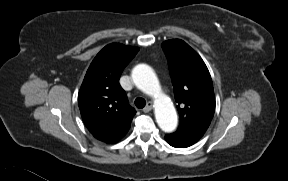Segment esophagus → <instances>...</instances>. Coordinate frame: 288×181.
I'll return each instance as SVG.
<instances>
[{
    "label": "esophagus",
    "instance_id": "esophagus-1",
    "mask_svg": "<svg viewBox=\"0 0 288 181\" xmlns=\"http://www.w3.org/2000/svg\"><path fill=\"white\" fill-rule=\"evenodd\" d=\"M153 108V103L152 102H148L147 105L145 106V108H143V112L147 113L149 111H151Z\"/></svg>",
    "mask_w": 288,
    "mask_h": 181
}]
</instances>
